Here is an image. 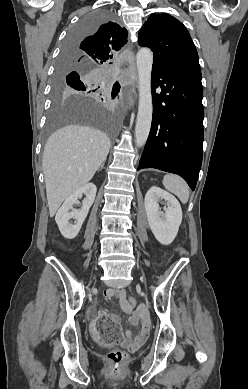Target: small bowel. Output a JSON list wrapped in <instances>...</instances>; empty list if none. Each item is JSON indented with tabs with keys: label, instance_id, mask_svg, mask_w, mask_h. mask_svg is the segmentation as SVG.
I'll return each mask as SVG.
<instances>
[{
	"label": "small bowel",
	"instance_id": "obj_1",
	"mask_svg": "<svg viewBox=\"0 0 248 389\" xmlns=\"http://www.w3.org/2000/svg\"><path fill=\"white\" fill-rule=\"evenodd\" d=\"M105 298L110 299L116 297L120 301L122 309L130 313L131 309L127 307L126 293L123 289H108L104 293ZM110 317L115 321H119V317L115 314H111ZM131 324L139 327V332L137 336L134 337L132 331L126 330L123 340H119V343L124 347L135 350L141 346V344L146 340L149 334V324L145 317L143 309L136 310L129 318Z\"/></svg>",
	"mask_w": 248,
	"mask_h": 389
}]
</instances>
